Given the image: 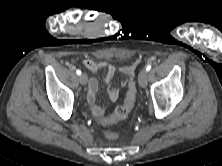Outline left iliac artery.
<instances>
[{
  "label": "left iliac artery",
  "mask_w": 222,
  "mask_h": 166,
  "mask_svg": "<svg viewBox=\"0 0 222 166\" xmlns=\"http://www.w3.org/2000/svg\"><path fill=\"white\" fill-rule=\"evenodd\" d=\"M151 67H152L151 64H148V65L146 66V71L149 72V71L151 70Z\"/></svg>",
  "instance_id": "44dca946"
}]
</instances>
